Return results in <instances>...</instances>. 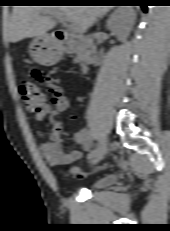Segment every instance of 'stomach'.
I'll return each instance as SVG.
<instances>
[{"label": "stomach", "instance_id": "stomach-1", "mask_svg": "<svg viewBox=\"0 0 170 231\" xmlns=\"http://www.w3.org/2000/svg\"><path fill=\"white\" fill-rule=\"evenodd\" d=\"M32 59L42 65H53L59 59V53L48 36L36 37L29 45Z\"/></svg>", "mask_w": 170, "mask_h": 231}]
</instances>
